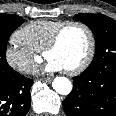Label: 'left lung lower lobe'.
<instances>
[{
	"label": "left lung lower lobe",
	"mask_w": 116,
	"mask_h": 116,
	"mask_svg": "<svg viewBox=\"0 0 116 116\" xmlns=\"http://www.w3.org/2000/svg\"><path fill=\"white\" fill-rule=\"evenodd\" d=\"M73 80L62 103L66 116H116V69L82 72Z\"/></svg>",
	"instance_id": "obj_1"
}]
</instances>
